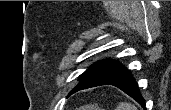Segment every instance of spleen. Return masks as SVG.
Returning a JSON list of instances; mask_svg holds the SVG:
<instances>
[{
  "label": "spleen",
  "instance_id": "obj_1",
  "mask_svg": "<svg viewBox=\"0 0 171 110\" xmlns=\"http://www.w3.org/2000/svg\"><path fill=\"white\" fill-rule=\"evenodd\" d=\"M116 110H137V108L129 102H119Z\"/></svg>",
  "mask_w": 171,
  "mask_h": 110
}]
</instances>
